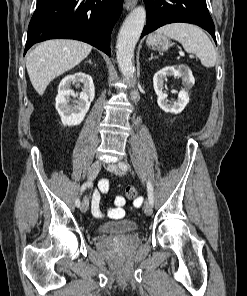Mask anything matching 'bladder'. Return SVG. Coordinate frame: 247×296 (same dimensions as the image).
<instances>
[{
    "label": "bladder",
    "instance_id": "31cf9c89",
    "mask_svg": "<svg viewBox=\"0 0 247 296\" xmlns=\"http://www.w3.org/2000/svg\"><path fill=\"white\" fill-rule=\"evenodd\" d=\"M138 224L132 220H121L102 224L98 231L103 235H126L137 231Z\"/></svg>",
    "mask_w": 247,
    "mask_h": 296
}]
</instances>
